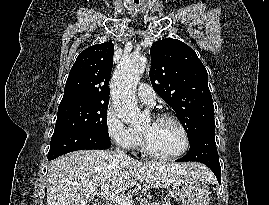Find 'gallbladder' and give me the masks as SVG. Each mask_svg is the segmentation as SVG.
Wrapping results in <instances>:
<instances>
[{
    "label": "gallbladder",
    "mask_w": 269,
    "mask_h": 205,
    "mask_svg": "<svg viewBox=\"0 0 269 205\" xmlns=\"http://www.w3.org/2000/svg\"><path fill=\"white\" fill-rule=\"evenodd\" d=\"M90 205H98L97 203H94V204H90Z\"/></svg>",
    "instance_id": "gallbladder-1"
}]
</instances>
